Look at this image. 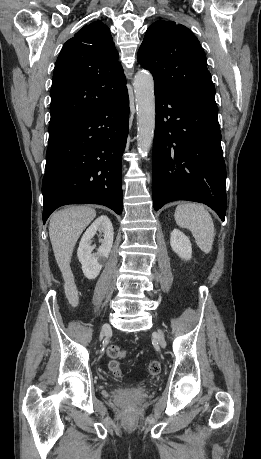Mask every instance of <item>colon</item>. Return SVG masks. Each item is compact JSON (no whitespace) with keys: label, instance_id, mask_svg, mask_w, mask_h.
Masks as SVG:
<instances>
[{"label":"colon","instance_id":"5ec220e1","mask_svg":"<svg viewBox=\"0 0 261 459\" xmlns=\"http://www.w3.org/2000/svg\"><path fill=\"white\" fill-rule=\"evenodd\" d=\"M107 356L110 358L108 362L109 370L117 377L121 376V366L118 359L125 356V351L117 345H110L106 350ZM148 371L151 375H158L161 372V365L158 361H152L148 366Z\"/></svg>","mask_w":261,"mask_h":459}]
</instances>
